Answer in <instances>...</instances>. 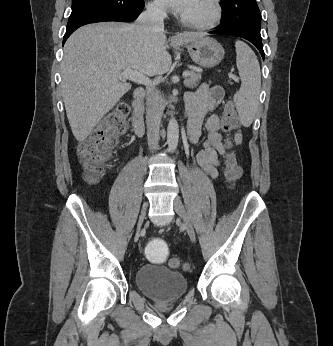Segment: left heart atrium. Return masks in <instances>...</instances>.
Returning <instances> with one entry per match:
<instances>
[{
    "label": "left heart atrium",
    "mask_w": 333,
    "mask_h": 346,
    "mask_svg": "<svg viewBox=\"0 0 333 346\" xmlns=\"http://www.w3.org/2000/svg\"><path fill=\"white\" fill-rule=\"evenodd\" d=\"M167 9L177 14L183 15L190 6L192 0H159Z\"/></svg>",
    "instance_id": "obj_1"
}]
</instances>
